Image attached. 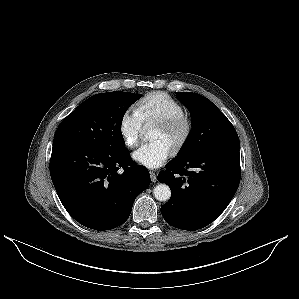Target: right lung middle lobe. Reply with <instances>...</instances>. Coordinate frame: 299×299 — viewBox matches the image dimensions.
Returning <instances> with one entry per match:
<instances>
[{
    "instance_id": "obj_1",
    "label": "right lung middle lobe",
    "mask_w": 299,
    "mask_h": 299,
    "mask_svg": "<svg viewBox=\"0 0 299 299\" xmlns=\"http://www.w3.org/2000/svg\"><path fill=\"white\" fill-rule=\"evenodd\" d=\"M141 96L114 91L90 97L62 121L54 140L69 139L109 150L125 148L122 119L129 106Z\"/></svg>"
}]
</instances>
